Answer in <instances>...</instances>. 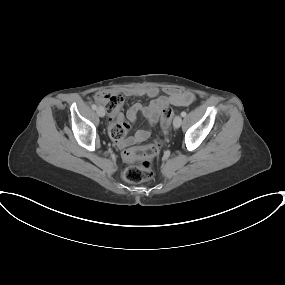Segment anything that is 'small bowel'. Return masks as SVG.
<instances>
[{
    "label": "small bowel",
    "mask_w": 285,
    "mask_h": 285,
    "mask_svg": "<svg viewBox=\"0 0 285 285\" xmlns=\"http://www.w3.org/2000/svg\"><path fill=\"white\" fill-rule=\"evenodd\" d=\"M121 97L143 96L151 98L152 100L146 106L135 103L127 110L126 117L129 121L134 122L137 120L139 113L147 119L149 124L154 125L158 122L161 112L167 107L186 106L194 102L195 96L191 92L180 91L177 89H168L166 95H159V89L154 86L142 87L138 89L127 88L121 92H115ZM111 123L110 130L115 127L125 125L124 117L121 113H114L109 115ZM151 135L149 130H138L132 137L122 139L119 141L121 147H127L137 142L147 140Z\"/></svg>",
    "instance_id": "c3829d8e"
}]
</instances>
